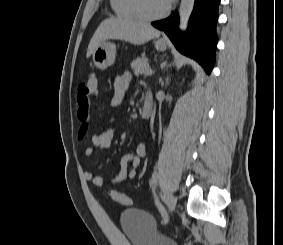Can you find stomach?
<instances>
[{"mask_svg": "<svg viewBox=\"0 0 283 245\" xmlns=\"http://www.w3.org/2000/svg\"><path fill=\"white\" fill-rule=\"evenodd\" d=\"M155 48L158 51H165L167 44L164 41L158 40L155 42ZM116 56V45L111 42H102L93 53L94 65L105 70L109 66L114 64Z\"/></svg>", "mask_w": 283, "mask_h": 245, "instance_id": "stomach-1", "label": "stomach"}]
</instances>
